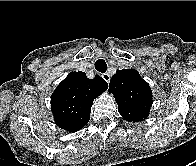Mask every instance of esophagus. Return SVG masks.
Here are the masks:
<instances>
[{
	"mask_svg": "<svg viewBox=\"0 0 196 166\" xmlns=\"http://www.w3.org/2000/svg\"><path fill=\"white\" fill-rule=\"evenodd\" d=\"M103 79L109 83L110 82V75L108 73H103L102 74Z\"/></svg>",
	"mask_w": 196,
	"mask_h": 166,
	"instance_id": "1",
	"label": "esophagus"
}]
</instances>
